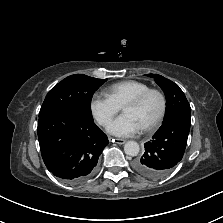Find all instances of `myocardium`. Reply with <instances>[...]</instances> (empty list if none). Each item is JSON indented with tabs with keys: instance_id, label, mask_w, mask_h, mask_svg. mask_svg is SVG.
Wrapping results in <instances>:
<instances>
[{
	"instance_id": "myocardium-1",
	"label": "myocardium",
	"mask_w": 223,
	"mask_h": 223,
	"mask_svg": "<svg viewBox=\"0 0 223 223\" xmlns=\"http://www.w3.org/2000/svg\"><path fill=\"white\" fill-rule=\"evenodd\" d=\"M151 94L159 95V97L161 98L162 107H161V111H160L159 115L156 117V119L149 125L141 128L142 132H151V131L155 130L164 120L166 112H167V107H168V101H167V97H166L165 93L160 89L149 88V89L143 91L142 93H140L139 95H137L136 97H134L133 99H131L123 107V109H124L126 107L139 106Z\"/></svg>"
}]
</instances>
